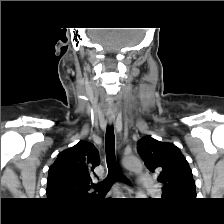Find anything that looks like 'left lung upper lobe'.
<instances>
[{
  "label": "left lung upper lobe",
  "instance_id": "5c2ea615",
  "mask_svg": "<svg viewBox=\"0 0 224 224\" xmlns=\"http://www.w3.org/2000/svg\"><path fill=\"white\" fill-rule=\"evenodd\" d=\"M138 153L151 172H159L164 198L189 199L196 197L195 182L188 162L171 143L145 136L137 142Z\"/></svg>",
  "mask_w": 224,
  "mask_h": 224
}]
</instances>
